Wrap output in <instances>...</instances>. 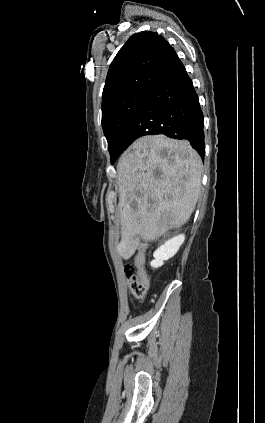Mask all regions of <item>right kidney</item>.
Here are the masks:
<instances>
[{"label":"right kidney","mask_w":265,"mask_h":423,"mask_svg":"<svg viewBox=\"0 0 265 423\" xmlns=\"http://www.w3.org/2000/svg\"><path fill=\"white\" fill-rule=\"evenodd\" d=\"M185 240V235H178L160 246L153 254L154 260L151 261L150 265L153 268H159L164 264V261L172 258L179 250L180 246Z\"/></svg>","instance_id":"obj_1"}]
</instances>
